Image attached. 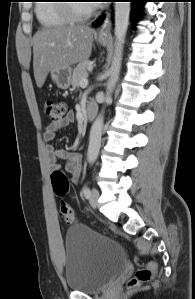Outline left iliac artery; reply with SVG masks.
Here are the masks:
<instances>
[{"label":"left iliac artery","instance_id":"left-iliac-artery-1","mask_svg":"<svg viewBox=\"0 0 195 299\" xmlns=\"http://www.w3.org/2000/svg\"><path fill=\"white\" fill-rule=\"evenodd\" d=\"M83 193H84L85 198H87V199L90 198L91 191H90V189L88 187H86L84 189Z\"/></svg>","mask_w":195,"mask_h":299}]
</instances>
